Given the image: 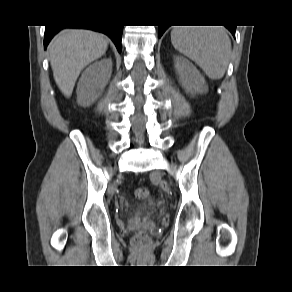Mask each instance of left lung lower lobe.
Returning a JSON list of instances; mask_svg holds the SVG:
<instances>
[{"mask_svg": "<svg viewBox=\"0 0 292 292\" xmlns=\"http://www.w3.org/2000/svg\"><path fill=\"white\" fill-rule=\"evenodd\" d=\"M230 32L233 34V36H235V30H236V26H231V27H228L226 26ZM168 28V26H159V37L162 36V34L165 32V30Z\"/></svg>", "mask_w": 292, "mask_h": 292, "instance_id": "0a47b994", "label": "left lung lower lobe"}]
</instances>
